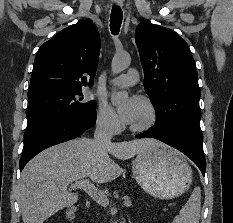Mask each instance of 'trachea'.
Here are the masks:
<instances>
[{
    "mask_svg": "<svg viewBox=\"0 0 233 223\" xmlns=\"http://www.w3.org/2000/svg\"><path fill=\"white\" fill-rule=\"evenodd\" d=\"M123 18L122 10L114 6L111 11L110 30L113 35H118Z\"/></svg>",
    "mask_w": 233,
    "mask_h": 223,
    "instance_id": "obj_1",
    "label": "trachea"
}]
</instances>
